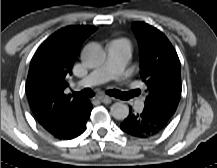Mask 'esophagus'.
Returning a JSON list of instances; mask_svg holds the SVG:
<instances>
[{
	"instance_id": "obj_1",
	"label": "esophagus",
	"mask_w": 217,
	"mask_h": 168,
	"mask_svg": "<svg viewBox=\"0 0 217 168\" xmlns=\"http://www.w3.org/2000/svg\"><path fill=\"white\" fill-rule=\"evenodd\" d=\"M98 99H99L102 103H104V104H110V103L112 102V100H113V98H111V97H109V96H107V95H100V96L98 97Z\"/></svg>"
}]
</instances>
